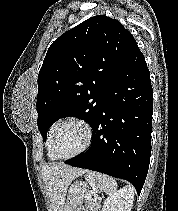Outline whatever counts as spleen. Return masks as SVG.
<instances>
[{
  "instance_id": "3e777b00",
  "label": "spleen",
  "mask_w": 178,
  "mask_h": 211,
  "mask_svg": "<svg viewBox=\"0 0 178 211\" xmlns=\"http://www.w3.org/2000/svg\"><path fill=\"white\" fill-rule=\"evenodd\" d=\"M85 180L89 183L95 192H105L112 195L117 190V183L114 178L94 171H87Z\"/></svg>"
}]
</instances>
